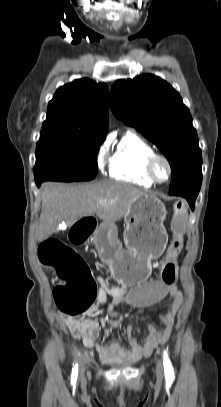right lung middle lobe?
I'll return each instance as SVG.
<instances>
[{"label": "right lung middle lobe", "mask_w": 221, "mask_h": 407, "mask_svg": "<svg viewBox=\"0 0 221 407\" xmlns=\"http://www.w3.org/2000/svg\"><path fill=\"white\" fill-rule=\"evenodd\" d=\"M102 142L68 134H41L36 147L35 180L72 182L94 179Z\"/></svg>", "instance_id": "right-lung-middle-lobe-1"}]
</instances>
